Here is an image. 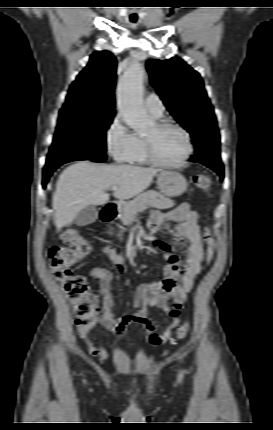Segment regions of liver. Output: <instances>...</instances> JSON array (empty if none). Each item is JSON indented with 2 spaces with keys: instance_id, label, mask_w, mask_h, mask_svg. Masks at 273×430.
I'll return each mask as SVG.
<instances>
[{
  "instance_id": "liver-1",
  "label": "liver",
  "mask_w": 273,
  "mask_h": 430,
  "mask_svg": "<svg viewBox=\"0 0 273 430\" xmlns=\"http://www.w3.org/2000/svg\"><path fill=\"white\" fill-rule=\"evenodd\" d=\"M160 169L132 165H95L79 161L68 166L59 176L53 195L54 224L58 231L72 224L88 205H103L109 200L106 191L119 200L130 199L146 190Z\"/></svg>"
}]
</instances>
